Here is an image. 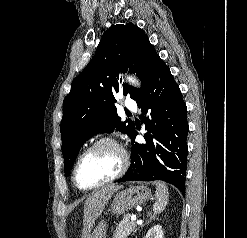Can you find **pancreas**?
Listing matches in <instances>:
<instances>
[{
	"instance_id": "1",
	"label": "pancreas",
	"mask_w": 247,
	"mask_h": 238,
	"mask_svg": "<svg viewBox=\"0 0 247 238\" xmlns=\"http://www.w3.org/2000/svg\"><path fill=\"white\" fill-rule=\"evenodd\" d=\"M136 224L132 221L123 219L116 227L113 238H127L132 232L135 231Z\"/></svg>"
}]
</instances>
